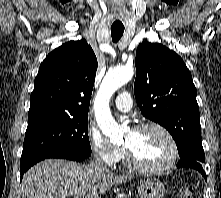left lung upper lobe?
<instances>
[{
	"mask_svg": "<svg viewBox=\"0 0 221 198\" xmlns=\"http://www.w3.org/2000/svg\"><path fill=\"white\" fill-rule=\"evenodd\" d=\"M135 65L134 94L142 114L170 132L181 160L204 163L196 88L182 58L161 44L143 42Z\"/></svg>",
	"mask_w": 221,
	"mask_h": 198,
	"instance_id": "1",
	"label": "left lung upper lobe"
}]
</instances>
